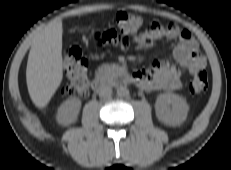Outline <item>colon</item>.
Listing matches in <instances>:
<instances>
[{"instance_id":"1","label":"colon","mask_w":231,"mask_h":170,"mask_svg":"<svg viewBox=\"0 0 231 170\" xmlns=\"http://www.w3.org/2000/svg\"><path fill=\"white\" fill-rule=\"evenodd\" d=\"M113 27L121 34L135 37L140 34L143 20L140 15L119 11L111 19ZM64 69L68 77L67 85L62 93L69 97H84L88 88V63L81 50L70 47L64 54ZM208 87V76L204 70H198L190 82L189 89L192 93H201Z\"/></svg>"}]
</instances>
